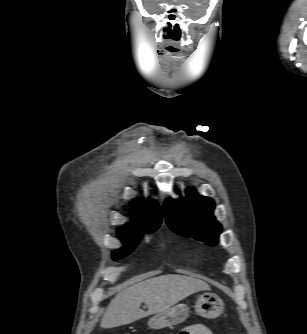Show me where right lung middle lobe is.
<instances>
[{"instance_id":"1","label":"right lung middle lobe","mask_w":307,"mask_h":334,"mask_svg":"<svg viewBox=\"0 0 307 334\" xmlns=\"http://www.w3.org/2000/svg\"><path fill=\"white\" fill-rule=\"evenodd\" d=\"M156 229L157 228H154L150 231H155ZM120 238H124V237H120ZM138 238L139 236L137 235L135 237L123 239V242L125 243L124 249L114 251L113 258L118 259V258L128 255L132 251V249L136 246Z\"/></svg>"}]
</instances>
